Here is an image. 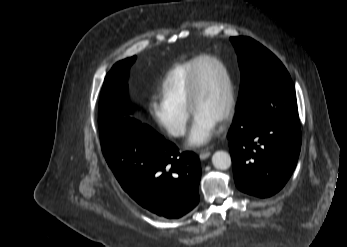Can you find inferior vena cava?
Wrapping results in <instances>:
<instances>
[{
  "label": "inferior vena cava",
  "mask_w": 347,
  "mask_h": 247,
  "mask_svg": "<svg viewBox=\"0 0 347 247\" xmlns=\"http://www.w3.org/2000/svg\"><path fill=\"white\" fill-rule=\"evenodd\" d=\"M184 132H185V127L182 125H180L178 127H174V129H173V133L176 136L183 135Z\"/></svg>",
  "instance_id": "602c4592"
}]
</instances>
